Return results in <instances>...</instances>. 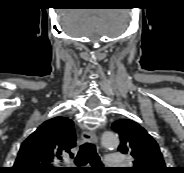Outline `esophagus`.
<instances>
[{
  "instance_id": "34e87169",
  "label": "esophagus",
  "mask_w": 184,
  "mask_h": 173,
  "mask_svg": "<svg viewBox=\"0 0 184 173\" xmlns=\"http://www.w3.org/2000/svg\"><path fill=\"white\" fill-rule=\"evenodd\" d=\"M81 138L84 143H98V138L94 131H84L81 135Z\"/></svg>"
}]
</instances>
